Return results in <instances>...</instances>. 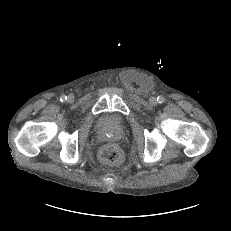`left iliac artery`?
Returning <instances> with one entry per match:
<instances>
[{"instance_id":"1","label":"left iliac artery","mask_w":231,"mask_h":231,"mask_svg":"<svg viewBox=\"0 0 231 231\" xmlns=\"http://www.w3.org/2000/svg\"><path fill=\"white\" fill-rule=\"evenodd\" d=\"M164 97H162V96H158V98H157V101H158V103H163L164 102Z\"/></svg>"}]
</instances>
